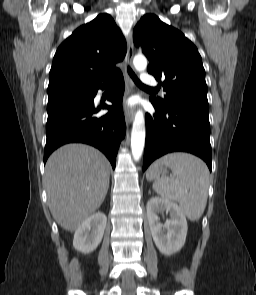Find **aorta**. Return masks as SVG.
Wrapping results in <instances>:
<instances>
[{
	"label": "aorta",
	"instance_id": "762f6f07",
	"mask_svg": "<svg viewBox=\"0 0 256 295\" xmlns=\"http://www.w3.org/2000/svg\"><path fill=\"white\" fill-rule=\"evenodd\" d=\"M134 67L137 71H144L147 67V59L138 54L133 59ZM145 145V119L141 110L135 114L132 132H131V151L135 161H138L143 153Z\"/></svg>",
	"mask_w": 256,
	"mask_h": 295
}]
</instances>
